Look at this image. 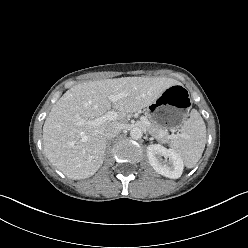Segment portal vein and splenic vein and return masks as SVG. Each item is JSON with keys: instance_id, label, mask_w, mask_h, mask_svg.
Returning a JSON list of instances; mask_svg holds the SVG:
<instances>
[{"instance_id": "18ae733b", "label": "portal vein and splenic vein", "mask_w": 248, "mask_h": 248, "mask_svg": "<svg viewBox=\"0 0 248 248\" xmlns=\"http://www.w3.org/2000/svg\"><path fill=\"white\" fill-rule=\"evenodd\" d=\"M125 96V93H119V94H116V95H109V100L111 102H116L118 101L120 98L124 97ZM118 119V113L115 112V111H108L106 112L104 115L90 121L89 123L91 125H99V124H102L106 121H109V120H117ZM141 121L144 125L148 126L149 125V121L147 120L146 117H141ZM83 123V122H81ZM176 135H171L170 137L171 138H174Z\"/></svg>"}]
</instances>
